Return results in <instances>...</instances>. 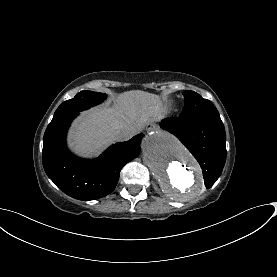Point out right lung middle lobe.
Returning a JSON list of instances; mask_svg holds the SVG:
<instances>
[{
	"mask_svg": "<svg viewBox=\"0 0 277 277\" xmlns=\"http://www.w3.org/2000/svg\"><path fill=\"white\" fill-rule=\"evenodd\" d=\"M106 99V94L92 91H81L73 99L63 102L56 110L51 122H55L71 113L89 109Z\"/></svg>",
	"mask_w": 277,
	"mask_h": 277,
	"instance_id": "obj_1",
	"label": "right lung middle lobe"
}]
</instances>
